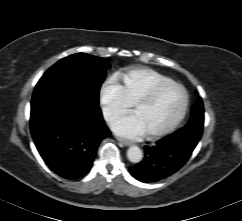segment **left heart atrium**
Listing matches in <instances>:
<instances>
[{
    "instance_id": "39dd6f15",
    "label": "left heart atrium",
    "mask_w": 242,
    "mask_h": 221,
    "mask_svg": "<svg viewBox=\"0 0 242 221\" xmlns=\"http://www.w3.org/2000/svg\"><path fill=\"white\" fill-rule=\"evenodd\" d=\"M110 125L116 134L129 139H137L146 134L142 121L135 113L119 116Z\"/></svg>"
}]
</instances>
